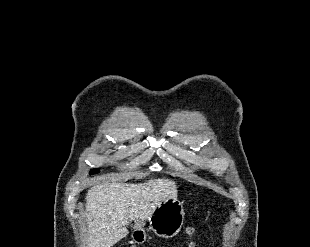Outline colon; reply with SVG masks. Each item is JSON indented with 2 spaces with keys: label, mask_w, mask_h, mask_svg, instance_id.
<instances>
[{
  "label": "colon",
  "mask_w": 310,
  "mask_h": 247,
  "mask_svg": "<svg viewBox=\"0 0 310 247\" xmlns=\"http://www.w3.org/2000/svg\"><path fill=\"white\" fill-rule=\"evenodd\" d=\"M187 233H188V235H190V236L193 235V234H194V229H193L192 227L188 228ZM188 247H195V245H194L193 243H190V244L188 245Z\"/></svg>",
  "instance_id": "obj_1"
}]
</instances>
